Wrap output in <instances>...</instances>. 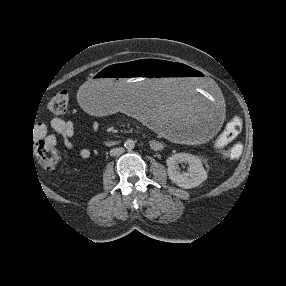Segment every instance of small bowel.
Masks as SVG:
<instances>
[{
    "mask_svg": "<svg viewBox=\"0 0 286 286\" xmlns=\"http://www.w3.org/2000/svg\"><path fill=\"white\" fill-rule=\"evenodd\" d=\"M100 129V125L97 122L92 124V130L98 131ZM53 131L54 133H50L49 131ZM75 133V125L72 121L53 118L48 123H39L36 125L34 129V136L36 138H44L47 143L50 145H56L57 143V135L61 136L63 139L64 147L68 150H72L74 148V144L72 141V137ZM242 151V147L240 144H234L229 149V157L231 159H237L240 157ZM79 155L83 159H88L91 156V151L88 148H82L79 150Z\"/></svg>",
    "mask_w": 286,
    "mask_h": 286,
    "instance_id": "obj_1",
    "label": "small bowel"
}]
</instances>
